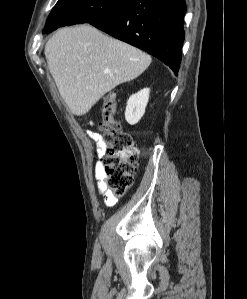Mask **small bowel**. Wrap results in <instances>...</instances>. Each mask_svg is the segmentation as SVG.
Here are the masks:
<instances>
[{"label":"small bowel","instance_id":"obj_1","mask_svg":"<svg viewBox=\"0 0 247 299\" xmlns=\"http://www.w3.org/2000/svg\"><path fill=\"white\" fill-rule=\"evenodd\" d=\"M94 122L90 121V125H93ZM87 136L91 141L96 144V154L98 157H102L104 154L103 151V140L99 133L92 130L86 131ZM95 176L98 179L97 188L98 193L104 198L105 205L108 207L113 206L116 203V197L108 190L105 182L102 171V163L97 161L95 164Z\"/></svg>","mask_w":247,"mask_h":299}]
</instances>
